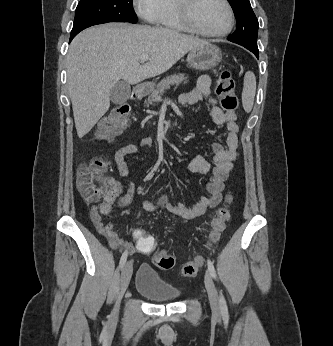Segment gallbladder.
I'll return each mask as SVG.
<instances>
[{
  "instance_id": "1",
  "label": "gallbladder",
  "mask_w": 333,
  "mask_h": 346,
  "mask_svg": "<svg viewBox=\"0 0 333 346\" xmlns=\"http://www.w3.org/2000/svg\"><path fill=\"white\" fill-rule=\"evenodd\" d=\"M130 94V84L122 80L117 82L110 90V99L114 104H123L129 99Z\"/></svg>"
}]
</instances>
